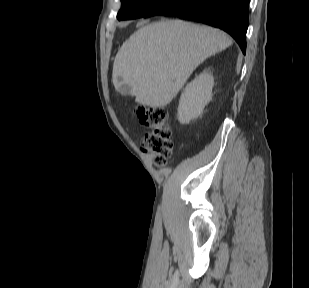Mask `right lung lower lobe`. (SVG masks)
<instances>
[{"label": "right lung lower lobe", "mask_w": 309, "mask_h": 288, "mask_svg": "<svg viewBox=\"0 0 309 288\" xmlns=\"http://www.w3.org/2000/svg\"><path fill=\"white\" fill-rule=\"evenodd\" d=\"M250 0H165L143 17L176 16L202 22L229 33L246 52Z\"/></svg>", "instance_id": "1"}]
</instances>
